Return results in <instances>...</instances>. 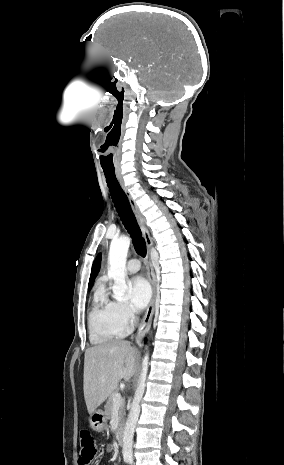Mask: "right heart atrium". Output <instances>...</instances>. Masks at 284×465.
Wrapping results in <instances>:
<instances>
[{"instance_id":"d8ad5b80","label":"right heart atrium","mask_w":284,"mask_h":465,"mask_svg":"<svg viewBox=\"0 0 284 465\" xmlns=\"http://www.w3.org/2000/svg\"><path fill=\"white\" fill-rule=\"evenodd\" d=\"M113 304L121 325L130 327L136 322V316L126 305L116 302Z\"/></svg>"}]
</instances>
